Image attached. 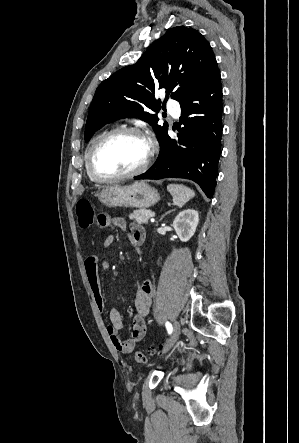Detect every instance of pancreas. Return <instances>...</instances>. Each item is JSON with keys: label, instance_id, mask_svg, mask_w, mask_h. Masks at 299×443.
I'll use <instances>...</instances> for the list:
<instances>
[{"label": "pancreas", "instance_id": "obj_1", "mask_svg": "<svg viewBox=\"0 0 299 443\" xmlns=\"http://www.w3.org/2000/svg\"><path fill=\"white\" fill-rule=\"evenodd\" d=\"M151 212L149 209H138L134 210L133 213L129 215V217L136 221L139 224H147L150 216L148 215Z\"/></svg>", "mask_w": 299, "mask_h": 443}]
</instances>
